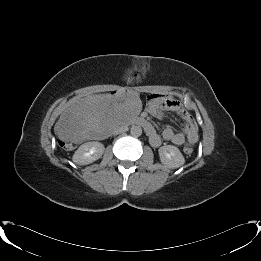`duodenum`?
I'll return each mask as SVG.
<instances>
[{
  "label": "duodenum",
  "mask_w": 261,
  "mask_h": 261,
  "mask_svg": "<svg viewBox=\"0 0 261 261\" xmlns=\"http://www.w3.org/2000/svg\"><path fill=\"white\" fill-rule=\"evenodd\" d=\"M135 123L142 126L148 134L150 133L152 129L151 124L145 118H137Z\"/></svg>",
  "instance_id": "duodenum-1"
}]
</instances>
